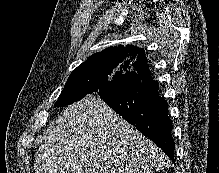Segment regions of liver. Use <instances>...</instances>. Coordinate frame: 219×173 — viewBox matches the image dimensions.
<instances>
[{"instance_id": "obj_1", "label": "liver", "mask_w": 219, "mask_h": 173, "mask_svg": "<svg viewBox=\"0 0 219 173\" xmlns=\"http://www.w3.org/2000/svg\"><path fill=\"white\" fill-rule=\"evenodd\" d=\"M160 149L99 97L68 106L41 138L35 173H154Z\"/></svg>"}]
</instances>
